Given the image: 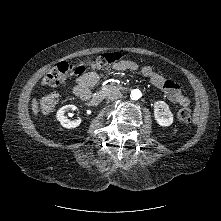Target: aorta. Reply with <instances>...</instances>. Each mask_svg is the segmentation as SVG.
Masks as SVG:
<instances>
[{
	"label": "aorta",
	"instance_id": "aorta-1",
	"mask_svg": "<svg viewBox=\"0 0 221 221\" xmlns=\"http://www.w3.org/2000/svg\"><path fill=\"white\" fill-rule=\"evenodd\" d=\"M131 98L133 99V100H138V99H140L141 98V96H142V93H141V91L139 90V89H133L132 91H131Z\"/></svg>",
	"mask_w": 221,
	"mask_h": 221
}]
</instances>
